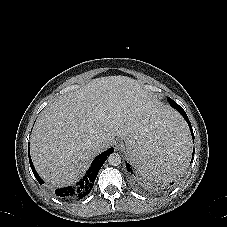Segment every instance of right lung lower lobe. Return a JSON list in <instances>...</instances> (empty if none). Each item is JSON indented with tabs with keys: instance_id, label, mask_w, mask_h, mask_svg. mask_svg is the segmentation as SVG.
<instances>
[{
	"instance_id": "1",
	"label": "right lung lower lobe",
	"mask_w": 227,
	"mask_h": 227,
	"mask_svg": "<svg viewBox=\"0 0 227 227\" xmlns=\"http://www.w3.org/2000/svg\"><path fill=\"white\" fill-rule=\"evenodd\" d=\"M113 152H114V149L110 148L107 151L103 152L102 154L98 155L94 159L87 174L84 176V178L81 181L77 183L76 186H69L65 188L56 189L55 194L65 200L81 199L85 197L92 189L94 181L97 177V174L100 168L102 167V165L104 164L108 156ZM29 162L34 176L36 177L37 181L42 185L44 181L37 174L33 166V163L31 161L30 155H29Z\"/></svg>"
}]
</instances>
